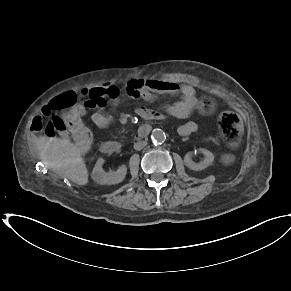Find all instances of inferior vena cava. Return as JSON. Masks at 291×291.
Here are the masks:
<instances>
[{"label":"inferior vena cava","instance_id":"obj_1","mask_svg":"<svg viewBox=\"0 0 291 291\" xmlns=\"http://www.w3.org/2000/svg\"><path fill=\"white\" fill-rule=\"evenodd\" d=\"M147 145L146 141H138L134 144V149L135 150H141L142 148H144Z\"/></svg>","mask_w":291,"mask_h":291}]
</instances>
